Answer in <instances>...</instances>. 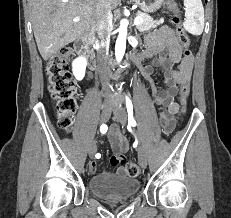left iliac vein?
<instances>
[{
    "instance_id": "4c4485c4",
    "label": "left iliac vein",
    "mask_w": 231,
    "mask_h": 218,
    "mask_svg": "<svg viewBox=\"0 0 231 218\" xmlns=\"http://www.w3.org/2000/svg\"><path fill=\"white\" fill-rule=\"evenodd\" d=\"M114 116L122 125L126 124V120H127L126 110L121 105L115 107ZM138 161L143 169L147 167V154L142 144L138 146Z\"/></svg>"
}]
</instances>
